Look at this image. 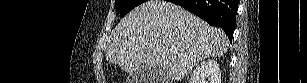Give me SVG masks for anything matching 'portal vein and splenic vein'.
<instances>
[{"instance_id":"portal-vein-and-splenic-vein-1","label":"portal vein and splenic vein","mask_w":307,"mask_h":83,"mask_svg":"<svg viewBox=\"0 0 307 83\" xmlns=\"http://www.w3.org/2000/svg\"><path fill=\"white\" fill-rule=\"evenodd\" d=\"M171 53H175V54H177V52H175V51H173V50H171Z\"/></svg>"}]
</instances>
